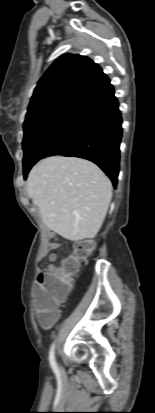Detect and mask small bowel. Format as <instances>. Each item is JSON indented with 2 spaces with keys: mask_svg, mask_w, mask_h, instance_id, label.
<instances>
[{
  "mask_svg": "<svg viewBox=\"0 0 155 413\" xmlns=\"http://www.w3.org/2000/svg\"><path fill=\"white\" fill-rule=\"evenodd\" d=\"M44 291V286L41 283L36 285L35 290V302L37 304L39 297ZM58 317V311H44L39 309V320L44 327H50Z\"/></svg>",
  "mask_w": 155,
  "mask_h": 413,
  "instance_id": "obj_1",
  "label": "small bowel"
}]
</instances>
